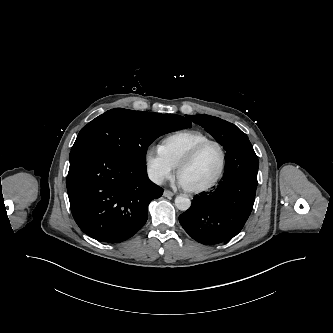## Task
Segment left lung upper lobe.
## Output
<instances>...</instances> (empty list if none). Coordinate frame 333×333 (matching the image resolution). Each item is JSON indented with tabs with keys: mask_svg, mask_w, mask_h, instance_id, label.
Wrapping results in <instances>:
<instances>
[{
	"mask_svg": "<svg viewBox=\"0 0 333 333\" xmlns=\"http://www.w3.org/2000/svg\"><path fill=\"white\" fill-rule=\"evenodd\" d=\"M187 117L202 126L226 151L236 143L248 139L237 126L220 118L209 115H187Z\"/></svg>",
	"mask_w": 333,
	"mask_h": 333,
	"instance_id": "1",
	"label": "left lung upper lobe"
}]
</instances>
